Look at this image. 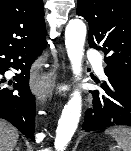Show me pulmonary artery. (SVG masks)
Returning <instances> with one entry per match:
<instances>
[{"label":"pulmonary artery","mask_w":131,"mask_h":151,"mask_svg":"<svg viewBox=\"0 0 131 151\" xmlns=\"http://www.w3.org/2000/svg\"><path fill=\"white\" fill-rule=\"evenodd\" d=\"M88 58L92 62L95 72L98 75L103 76L104 69L100 57L95 52H90Z\"/></svg>","instance_id":"e3ab8cb5"}]
</instances>
